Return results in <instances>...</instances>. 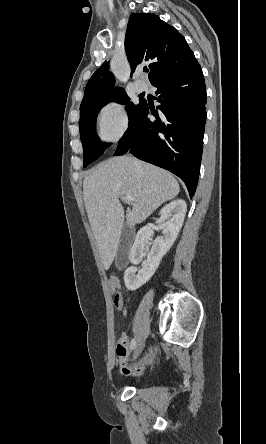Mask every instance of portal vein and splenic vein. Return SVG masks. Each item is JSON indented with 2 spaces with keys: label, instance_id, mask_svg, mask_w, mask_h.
<instances>
[{
  "label": "portal vein and splenic vein",
  "instance_id": "portal-vein-and-splenic-vein-1",
  "mask_svg": "<svg viewBox=\"0 0 266 444\" xmlns=\"http://www.w3.org/2000/svg\"><path fill=\"white\" fill-rule=\"evenodd\" d=\"M125 200H126L128 203H132V202L134 201V199H133L132 196H130V195L125 196Z\"/></svg>",
  "mask_w": 266,
  "mask_h": 444
}]
</instances>
